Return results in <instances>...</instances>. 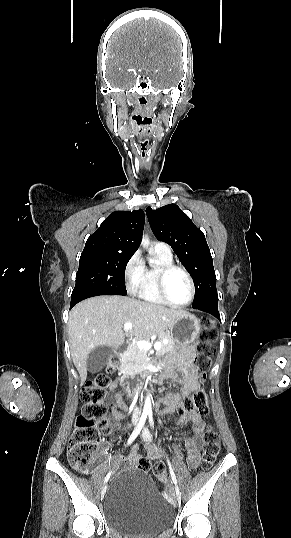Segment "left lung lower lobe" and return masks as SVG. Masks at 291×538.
I'll list each match as a JSON object with an SVG mask.
<instances>
[{
  "mask_svg": "<svg viewBox=\"0 0 291 538\" xmlns=\"http://www.w3.org/2000/svg\"><path fill=\"white\" fill-rule=\"evenodd\" d=\"M192 307L194 309H198V310L210 313L220 320V315L218 312V297L210 298L200 304H193Z\"/></svg>",
  "mask_w": 291,
  "mask_h": 538,
  "instance_id": "obj_1",
  "label": "left lung lower lobe"
}]
</instances>
